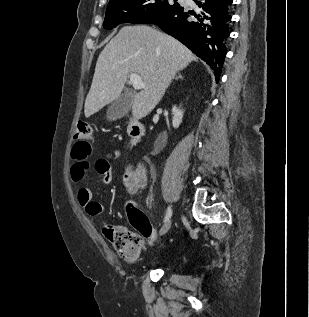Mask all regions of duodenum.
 I'll return each instance as SVG.
<instances>
[{
  "instance_id": "obj_1",
  "label": "duodenum",
  "mask_w": 309,
  "mask_h": 317,
  "mask_svg": "<svg viewBox=\"0 0 309 317\" xmlns=\"http://www.w3.org/2000/svg\"><path fill=\"white\" fill-rule=\"evenodd\" d=\"M127 132L130 137L131 145H135L144 135L145 129L138 119L132 117L129 121Z\"/></svg>"
}]
</instances>
